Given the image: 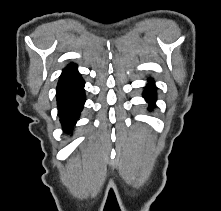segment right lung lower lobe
Returning <instances> with one entry per match:
<instances>
[{
  "label": "right lung lower lobe",
  "mask_w": 221,
  "mask_h": 211,
  "mask_svg": "<svg viewBox=\"0 0 221 211\" xmlns=\"http://www.w3.org/2000/svg\"><path fill=\"white\" fill-rule=\"evenodd\" d=\"M84 80L77 66L65 69L58 81L56 97L62 128L72 133L85 103Z\"/></svg>",
  "instance_id": "obj_1"
}]
</instances>
